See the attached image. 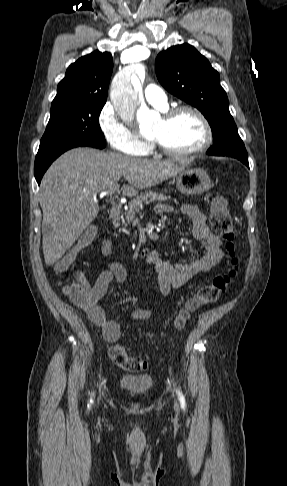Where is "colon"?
<instances>
[{"mask_svg": "<svg viewBox=\"0 0 287 486\" xmlns=\"http://www.w3.org/2000/svg\"><path fill=\"white\" fill-rule=\"evenodd\" d=\"M210 225L213 232L225 241V246L230 256V268L227 273L217 275L211 282L203 285L186 302L184 307L177 312L173 323L177 331L185 327L192 313L203 306L215 302L228 289L238 272L239 259L237 257V244L235 243L233 222L228 211L227 202L223 197H216L212 202ZM95 235V228H90L85 231L74 249L55 263L54 271L59 275L67 272L75 259L77 251L89 245L94 240ZM64 293L78 306L84 307L89 301L88 292L78 277L75 281L64 287ZM109 356L118 367L127 371L139 372L148 367L146 360L129 355L126 348L121 344L112 346L109 349Z\"/></svg>", "mask_w": 287, "mask_h": 486, "instance_id": "5ec220e1", "label": "colon"}]
</instances>
